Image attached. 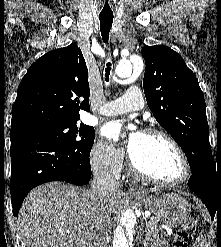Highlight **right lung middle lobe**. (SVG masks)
<instances>
[{"label":"right lung middle lobe","mask_w":221,"mask_h":247,"mask_svg":"<svg viewBox=\"0 0 221 247\" xmlns=\"http://www.w3.org/2000/svg\"><path fill=\"white\" fill-rule=\"evenodd\" d=\"M20 130L46 136L67 149L83 156H90L94 143V128L77 121L42 123L24 127Z\"/></svg>","instance_id":"obj_1"}]
</instances>
